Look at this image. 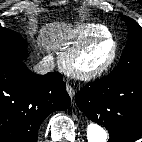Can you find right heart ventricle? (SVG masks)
Masks as SVG:
<instances>
[{
    "mask_svg": "<svg viewBox=\"0 0 142 142\" xmlns=\"http://www.w3.org/2000/svg\"><path fill=\"white\" fill-rule=\"evenodd\" d=\"M105 35H110V31L105 25L97 23H83L74 27L67 33L66 48L80 44L89 38Z\"/></svg>",
    "mask_w": 142,
    "mask_h": 142,
    "instance_id": "right-heart-ventricle-1",
    "label": "right heart ventricle"
}]
</instances>
